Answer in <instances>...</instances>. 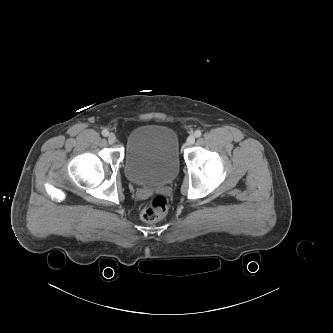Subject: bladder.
Returning <instances> with one entry per match:
<instances>
[{
    "label": "bladder",
    "mask_w": 333,
    "mask_h": 333,
    "mask_svg": "<svg viewBox=\"0 0 333 333\" xmlns=\"http://www.w3.org/2000/svg\"><path fill=\"white\" fill-rule=\"evenodd\" d=\"M180 168L177 132L164 124H144L128 135L124 157L126 177L137 185L170 183Z\"/></svg>",
    "instance_id": "obj_1"
}]
</instances>
